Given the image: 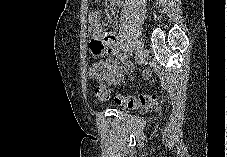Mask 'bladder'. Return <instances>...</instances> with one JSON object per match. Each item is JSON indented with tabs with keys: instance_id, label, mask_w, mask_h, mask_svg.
Masks as SVG:
<instances>
[{
	"instance_id": "bladder-1",
	"label": "bladder",
	"mask_w": 227,
	"mask_h": 157,
	"mask_svg": "<svg viewBox=\"0 0 227 157\" xmlns=\"http://www.w3.org/2000/svg\"><path fill=\"white\" fill-rule=\"evenodd\" d=\"M123 111L126 112V113H127V112H130L129 110H123Z\"/></svg>"
}]
</instances>
